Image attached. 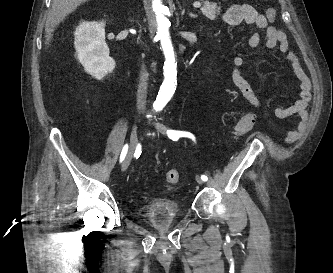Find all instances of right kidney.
Returning <instances> with one entry per match:
<instances>
[{
    "label": "right kidney",
    "mask_w": 333,
    "mask_h": 273,
    "mask_svg": "<svg viewBox=\"0 0 333 273\" xmlns=\"http://www.w3.org/2000/svg\"><path fill=\"white\" fill-rule=\"evenodd\" d=\"M76 56L84 70L101 80L115 68L105 42V22H83L75 31Z\"/></svg>",
    "instance_id": "ca27d5eb"
}]
</instances>
